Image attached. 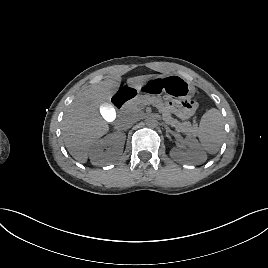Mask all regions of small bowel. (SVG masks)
<instances>
[{"label": "small bowel", "mask_w": 268, "mask_h": 268, "mask_svg": "<svg viewBox=\"0 0 268 268\" xmlns=\"http://www.w3.org/2000/svg\"><path fill=\"white\" fill-rule=\"evenodd\" d=\"M168 106L177 117L184 120L190 118L196 110V103L193 101H170Z\"/></svg>", "instance_id": "1"}]
</instances>
